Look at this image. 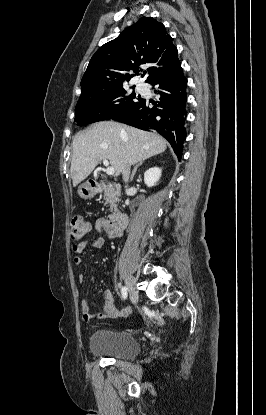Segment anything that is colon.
I'll return each mask as SVG.
<instances>
[{"label":"colon","mask_w":266,"mask_h":415,"mask_svg":"<svg viewBox=\"0 0 266 415\" xmlns=\"http://www.w3.org/2000/svg\"><path fill=\"white\" fill-rule=\"evenodd\" d=\"M90 231V222L83 216H75L71 221V238L75 241L82 239Z\"/></svg>","instance_id":"colon-1"}]
</instances>
